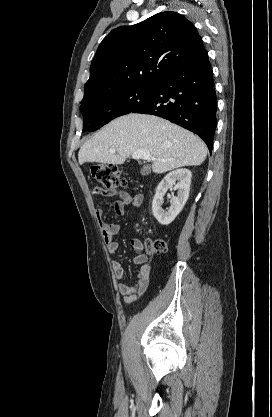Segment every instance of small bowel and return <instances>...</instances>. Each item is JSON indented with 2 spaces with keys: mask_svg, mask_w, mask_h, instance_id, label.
<instances>
[{
  "mask_svg": "<svg viewBox=\"0 0 272 417\" xmlns=\"http://www.w3.org/2000/svg\"><path fill=\"white\" fill-rule=\"evenodd\" d=\"M92 194L94 196L117 198L114 204V210L117 215H122L126 206H132L135 208L140 207L144 200L142 194L131 195L128 192L118 190L116 188H102L97 186L92 189ZM95 214L108 252L110 254L117 253L119 250V244L114 241V237L119 232L120 225L116 223L108 224L103 219V213L100 208H96ZM131 245L134 251L133 261L135 264L140 265V268L137 274V282L134 285L120 282L116 286L117 291L122 295L125 303H132L136 301L146 292L149 286L151 273V265L147 261V255L144 253L145 251L150 253L151 243L149 241L143 243L141 240L135 238L132 240ZM112 267L116 279L123 280L125 278V270L122 264L118 261H114L112 263Z\"/></svg>",
  "mask_w": 272,
  "mask_h": 417,
  "instance_id": "c3829d8e",
  "label": "small bowel"
}]
</instances>
